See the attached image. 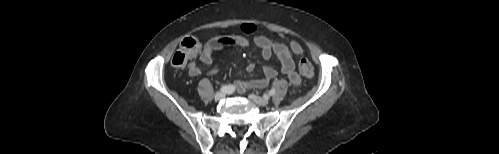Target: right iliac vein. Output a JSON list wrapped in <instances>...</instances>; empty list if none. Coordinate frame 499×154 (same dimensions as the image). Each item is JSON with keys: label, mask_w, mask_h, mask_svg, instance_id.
Returning <instances> with one entry per match:
<instances>
[{"label": "right iliac vein", "mask_w": 499, "mask_h": 154, "mask_svg": "<svg viewBox=\"0 0 499 154\" xmlns=\"http://www.w3.org/2000/svg\"><path fill=\"white\" fill-rule=\"evenodd\" d=\"M224 97H225V93L224 92H217L214 95V99L216 101H219V100L223 99Z\"/></svg>", "instance_id": "right-iliac-vein-1"}]
</instances>
